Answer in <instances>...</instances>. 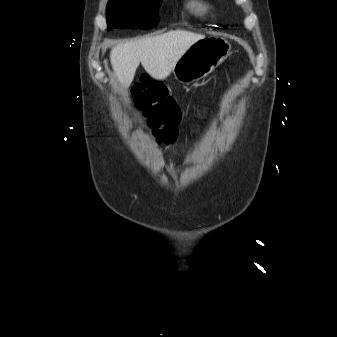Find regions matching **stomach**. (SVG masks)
I'll return each mask as SVG.
<instances>
[{"label":"stomach","mask_w":337,"mask_h":337,"mask_svg":"<svg viewBox=\"0 0 337 337\" xmlns=\"http://www.w3.org/2000/svg\"><path fill=\"white\" fill-rule=\"evenodd\" d=\"M231 53V44L223 38L198 40L181 56L173 67L176 80L189 84L209 75Z\"/></svg>","instance_id":"obj_1"}]
</instances>
